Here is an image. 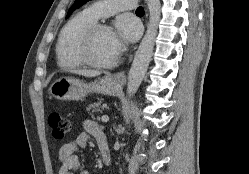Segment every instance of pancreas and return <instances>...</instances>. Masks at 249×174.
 <instances>
[{"mask_svg":"<svg viewBox=\"0 0 249 174\" xmlns=\"http://www.w3.org/2000/svg\"><path fill=\"white\" fill-rule=\"evenodd\" d=\"M105 105L102 104L101 101H98V102H95V103H92L90 105H88L87 107V111H92L93 112H101L102 109H104Z\"/></svg>","mask_w":249,"mask_h":174,"instance_id":"1","label":"pancreas"}]
</instances>
